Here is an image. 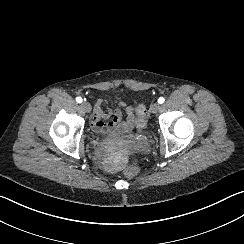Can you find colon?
Segmentation results:
<instances>
[{"label":"colon","mask_w":244,"mask_h":244,"mask_svg":"<svg viewBox=\"0 0 244 244\" xmlns=\"http://www.w3.org/2000/svg\"><path fill=\"white\" fill-rule=\"evenodd\" d=\"M137 115L139 117L136 126L139 128H142L145 125L146 119H147V111L144 108V106L139 105L136 108ZM126 175L129 178H137L140 175V170L137 167H129L126 170Z\"/></svg>","instance_id":"5ec220e1"}]
</instances>
